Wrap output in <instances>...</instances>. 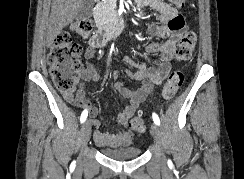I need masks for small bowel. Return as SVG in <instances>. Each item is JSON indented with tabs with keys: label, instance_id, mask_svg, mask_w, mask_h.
<instances>
[{
	"label": "small bowel",
	"instance_id": "1",
	"mask_svg": "<svg viewBox=\"0 0 244 179\" xmlns=\"http://www.w3.org/2000/svg\"><path fill=\"white\" fill-rule=\"evenodd\" d=\"M139 8H150L158 15L159 22L150 23L147 33L151 37H160L164 41L161 43L150 42L146 45V52L150 55L159 54V58L154 59L150 64L137 62L131 57H124V63L132 68L127 72V77L134 81H139L141 86L132 90L126 87L124 82L117 81L114 85L117 93L128 100V105L118 115L117 123L120 126H128L130 118L134 115L141 103L150 95L154 85L160 84L169 74L171 60L174 56L176 41L181 36L184 27L183 16L169 3L163 0H138ZM98 47L90 43L85 49L84 57L89 62L79 73V86L75 90L63 93V98L69 104L89 109L90 121L94 131V141L100 147L127 146L132 139L130 131L108 132L100 129L101 121L95 116L98 110L92 107L86 99V84L89 81H98L101 78L95 65L90 62L97 52ZM119 72L115 71L112 78L116 80Z\"/></svg>",
	"mask_w": 244,
	"mask_h": 179
}]
</instances>
